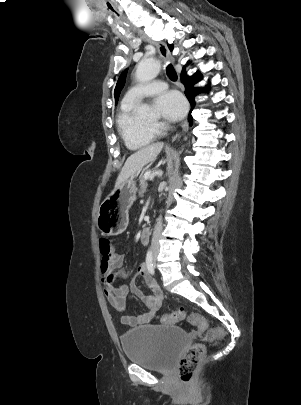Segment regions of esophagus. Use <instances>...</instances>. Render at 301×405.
Masks as SVG:
<instances>
[{
	"mask_svg": "<svg viewBox=\"0 0 301 405\" xmlns=\"http://www.w3.org/2000/svg\"><path fill=\"white\" fill-rule=\"evenodd\" d=\"M140 37L145 40L152 42V39L143 31H139ZM158 51L161 55V57L165 60L170 61L172 64H174V58L172 57L167 45L164 42H156ZM188 129V122L185 121L182 125V133L186 132ZM180 138V135H176L174 139Z\"/></svg>",
	"mask_w": 301,
	"mask_h": 405,
	"instance_id": "obj_1",
	"label": "esophagus"
}]
</instances>
